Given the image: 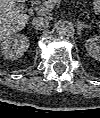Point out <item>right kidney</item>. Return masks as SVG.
<instances>
[{
  "mask_svg": "<svg viewBox=\"0 0 100 118\" xmlns=\"http://www.w3.org/2000/svg\"><path fill=\"white\" fill-rule=\"evenodd\" d=\"M29 47V39L23 34H15L1 42V54L6 59L16 60L21 57Z\"/></svg>",
  "mask_w": 100,
  "mask_h": 118,
  "instance_id": "right-kidney-1",
  "label": "right kidney"
}]
</instances>
